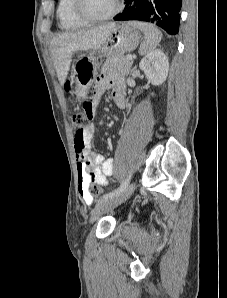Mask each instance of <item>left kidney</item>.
I'll return each instance as SVG.
<instances>
[{
    "label": "left kidney",
    "instance_id": "1",
    "mask_svg": "<svg viewBox=\"0 0 227 298\" xmlns=\"http://www.w3.org/2000/svg\"><path fill=\"white\" fill-rule=\"evenodd\" d=\"M139 68L153 85L162 84L168 75L169 61L160 49L148 53L140 62Z\"/></svg>",
    "mask_w": 227,
    "mask_h": 298
}]
</instances>
